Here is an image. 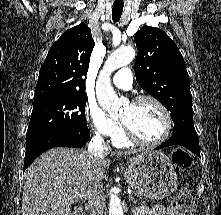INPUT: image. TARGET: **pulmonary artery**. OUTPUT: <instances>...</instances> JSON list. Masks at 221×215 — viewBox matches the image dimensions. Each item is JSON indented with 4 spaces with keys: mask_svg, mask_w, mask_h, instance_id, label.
I'll return each instance as SVG.
<instances>
[{
    "mask_svg": "<svg viewBox=\"0 0 221 215\" xmlns=\"http://www.w3.org/2000/svg\"><path fill=\"white\" fill-rule=\"evenodd\" d=\"M132 73L129 68H121L112 78V82L120 88H130L132 85Z\"/></svg>",
    "mask_w": 221,
    "mask_h": 215,
    "instance_id": "e3ab8cb5",
    "label": "pulmonary artery"
}]
</instances>
